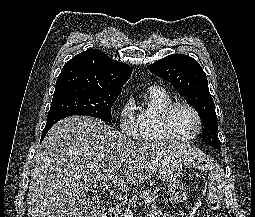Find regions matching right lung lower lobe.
<instances>
[{
    "mask_svg": "<svg viewBox=\"0 0 255 217\" xmlns=\"http://www.w3.org/2000/svg\"><path fill=\"white\" fill-rule=\"evenodd\" d=\"M68 116H71V115H67V114H62V115H57V116H54L50 119L47 120V123H46V126L42 132V136H41V141L44 139L46 133L51 129V127L57 123L59 120L65 118V117H68Z\"/></svg>",
    "mask_w": 255,
    "mask_h": 217,
    "instance_id": "obj_1",
    "label": "right lung lower lobe"
}]
</instances>
